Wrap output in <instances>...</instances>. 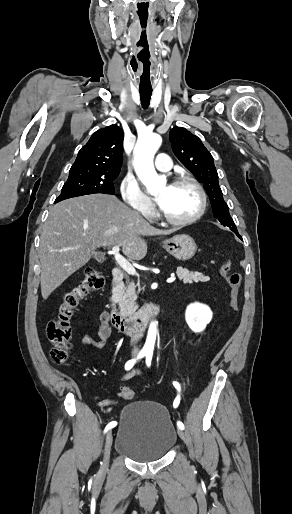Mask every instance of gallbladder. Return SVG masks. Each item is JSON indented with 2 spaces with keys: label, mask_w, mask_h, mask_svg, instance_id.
Masks as SVG:
<instances>
[{
  "label": "gallbladder",
  "mask_w": 292,
  "mask_h": 514,
  "mask_svg": "<svg viewBox=\"0 0 292 514\" xmlns=\"http://www.w3.org/2000/svg\"><path fill=\"white\" fill-rule=\"evenodd\" d=\"M95 258L98 260V262H103L104 260L103 254H95Z\"/></svg>",
  "instance_id": "bac80fb5"
}]
</instances>
